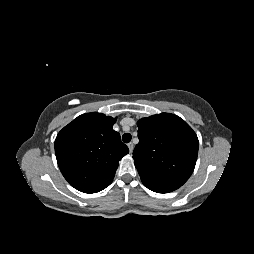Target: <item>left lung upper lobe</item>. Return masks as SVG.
Here are the masks:
<instances>
[{"mask_svg":"<svg viewBox=\"0 0 254 254\" xmlns=\"http://www.w3.org/2000/svg\"><path fill=\"white\" fill-rule=\"evenodd\" d=\"M139 143L133 151L141 178L182 186L198 155V138L180 117L160 113L137 123Z\"/></svg>","mask_w":254,"mask_h":254,"instance_id":"1","label":"left lung upper lobe"}]
</instances>
